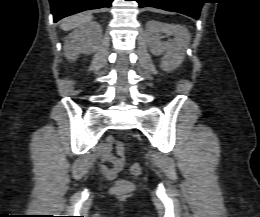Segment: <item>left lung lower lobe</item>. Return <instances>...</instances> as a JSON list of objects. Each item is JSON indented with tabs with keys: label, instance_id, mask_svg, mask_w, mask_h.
Segmentation results:
<instances>
[{
	"label": "left lung lower lobe",
	"instance_id": "left-lung-lower-lobe-1",
	"mask_svg": "<svg viewBox=\"0 0 260 217\" xmlns=\"http://www.w3.org/2000/svg\"><path fill=\"white\" fill-rule=\"evenodd\" d=\"M142 7H155L179 12L198 19L204 0H135Z\"/></svg>",
	"mask_w": 260,
	"mask_h": 217
}]
</instances>
